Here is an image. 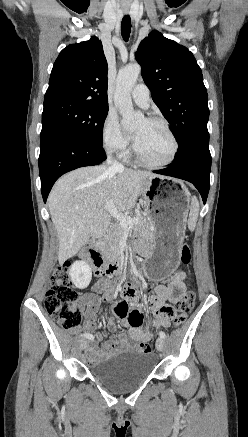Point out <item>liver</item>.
I'll return each instance as SVG.
<instances>
[{
	"label": "liver",
	"mask_w": 248,
	"mask_h": 437,
	"mask_svg": "<svg viewBox=\"0 0 248 437\" xmlns=\"http://www.w3.org/2000/svg\"><path fill=\"white\" fill-rule=\"evenodd\" d=\"M154 177L158 175L105 165L79 168L62 176L48 197L59 239V262L76 255L90 237L104 235L111 220L104 209L108 201L119 211L132 209Z\"/></svg>",
	"instance_id": "liver-1"
}]
</instances>
